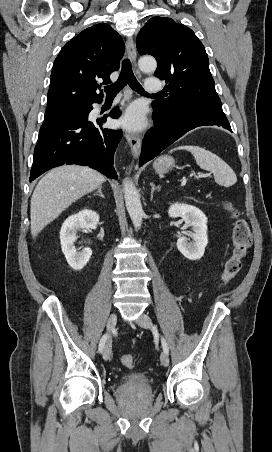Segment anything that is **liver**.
<instances>
[{"instance_id":"liver-1","label":"liver","mask_w":272,"mask_h":452,"mask_svg":"<svg viewBox=\"0 0 272 452\" xmlns=\"http://www.w3.org/2000/svg\"><path fill=\"white\" fill-rule=\"evenodd\" d=\"M105 181L106 178L98 171L79 165H63L45 174L31 198L33 238L72 203L99 188Z\"/></svg>"}]
</instances>
